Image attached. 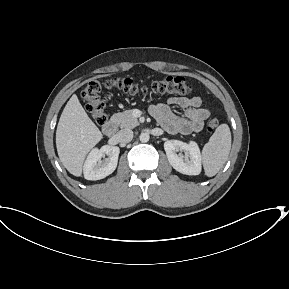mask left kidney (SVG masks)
Returning a JSON list of instances; mask_svg holds the SVG:
<instances>
[{"instance_id":"obj_1","label":"left kidney","mask_w":289,"mask_h":289,"mask_svg":"<svg viewBox=\"0 0 289 289\" xmlns=\"http://www.w3.org/2000/svg\"><path fill=\"white\" fill-rule=\"evenodd\" d=\"M164 149L170 165L186 175H199L201 172V153L196 142L185 143L179 140H167ZM178 151H184L177 153Z\"/></svg>"}]
</instances>
